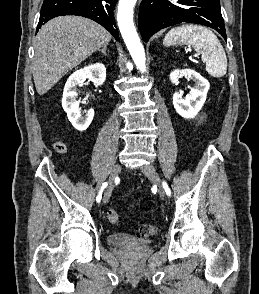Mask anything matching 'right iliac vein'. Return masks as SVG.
Masks as SVG:
<instances>
[{
    "mask_svg": "<svg viewBox=\"0 0 259 294\" xmlns=\"http://www.w3.org/2000/svg\"><path fill=\"white\" fill-rule=\"evenodd\" d=\"M120 172H121V165L120 164L114 165L110 174L108 186L103 196V203H107L109 201L113 188H114V181L118 177Z\"/></svg>",
    "mask_w": 259,
    "mask_h": 294,
    "instance_id": "1",
    "label": "right iliac vein"
}]
</instances>
